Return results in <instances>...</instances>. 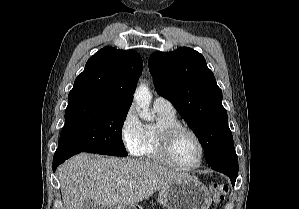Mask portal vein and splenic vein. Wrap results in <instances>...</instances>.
<instances>
[{"instance_id": "portal-vein-and-splenic-vein-1", "label": "portal vein and splenic vein", "mask_w": 299, "mask_h": 209, "mask_svg": "<svg viewBox=\"0 0 299 209\" xmlns=\"http://www.w3.org/2000/svg\"><path fill=\"white\" fill-rule=\"evenodd\" d=\"M119 184H120V185H125L126 182H125V181H120Z\"/></svg>"}]
</instances>
